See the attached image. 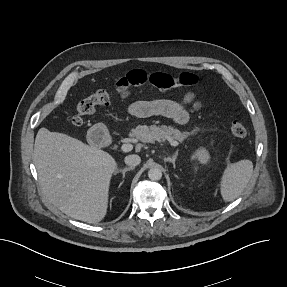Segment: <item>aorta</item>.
Returning <instances> with one entry per match:
<instances>
[{
	"instance_id": "762f6f07",
	"label": "aorta",
	"mask_w": 287,
	"mask_h": 287,
	"mask_svg": "<svg viewBox=\"0 0 287 287\" xmlns=\"http://www.w3.org/2000/svg\"><path fill=\"white\" fill-rule=\"evenodd\" d=\"M148 177L152 181H158L162 178V171L159 168H151L148 171Z\"/></svg>"
}]
</instances>
